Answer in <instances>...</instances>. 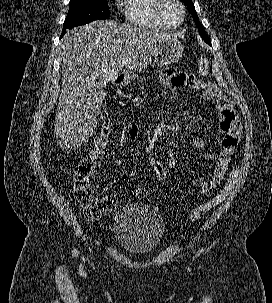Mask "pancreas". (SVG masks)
I'll return each instance as SVG.
<instances>
[{
    "label": "pancreas",
    "mask_w": 272,
    "mask_h": 303,
    "mask_svg": "<svg viewBox=\"0 0 272 303\" xmlns=\"http://www.w3.org/2000/svg\"><path fill=\"white\" fill-rule=\"evenodd\" d=\"M143 81H145V78H141L140 80H139V82H143Z\"/></svg>",
    "instance_id": "cf45deb5"
}]
</instances>
